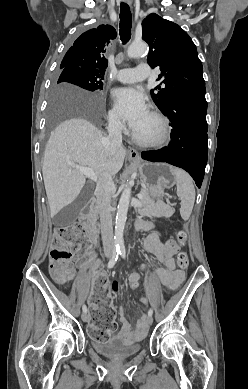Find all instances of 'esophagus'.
I'll return each instance as SVG.
<instances>
[{"mask_svg": "<svg viewBox=\"0 0 248 389\" xmlns=\"http://www.w3.org/2000/svg\"><path fill=\"white\" fill-rule=\"evenodd\" d=\"M126 1L128 3H130V0H126ZM129 159L133 160V161H138L140 159L139 152L134 148H130L129 149Z\"/></svg>", "mask_w": 248, "mask_h": 389, "instance_id": "obj_1", "label": "esophagus"}]
</instances>
